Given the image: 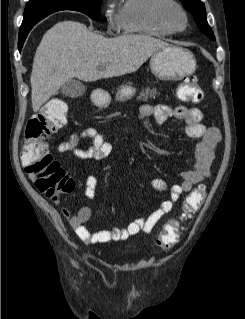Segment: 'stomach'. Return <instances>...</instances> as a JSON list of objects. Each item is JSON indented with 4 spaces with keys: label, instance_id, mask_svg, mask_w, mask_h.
<instances>
[{
    "label": "stomach",
    "instance_id": "obj_1",
    "mask_svg": "<svg viewBox=\"0 0 245 319\" xmlns=\"http://www.w3.org/2000/svg\"><path fill=\"white\" fill-rule=\"evenodd\" d=\"M152 73L162 80H178L192 74L196 69L194 55L187 49L167 45L156 51L150 59ZM135 88L131 85H122L118 90L116 99L124 101L131 98ZM108 103L102 105L107 107Z\"/></svg>",
    "mask_w": 245,
    "mask_h": 319
}]
</instances>
